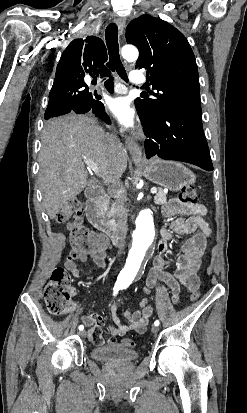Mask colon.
<instances>
[{"instance_id": "5ec220e1", "label": "colon", "mask_w": 247, "mask_h": 413, "mask_svg": "<svg viewBox=\"0 0 247 413\" xmlns=\"http://www.w3.org/2000/svg\"><path fill=\"white\" fill-rule=\"evenodd\" d=\"M177 198H179L182 203L190 205L195 202L196 195L191 187H187L180 191ZM81 207L82 204L80 201H69L58 212V221L65 224L69 221H73V224L68 227L70 229L72 243L76 249L89 251L96 246L104 247L106 244L105 238L83 223ZM70 282L71 274L69 270L58 268L53 272L52 277L45 285L43 292L45 304L50 313L59 315L71 312L72 307H75L72 300V288ZM199 296L200 293H191V300L195 301ZM123 344L130 347L133 345V341L124 339Z\"/></svg>"}]
</instances>
